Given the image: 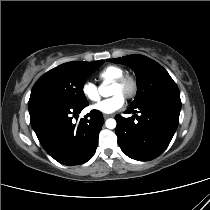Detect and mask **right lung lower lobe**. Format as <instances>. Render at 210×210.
I'll return each instance as SVG.
<instances>
[{
  "instance_id": "98d812e1",
  "label": "right lung lower lobe",
  "mask_w": 210,
  "mask_h": 210,
  "mask_svg": "<svg viewBox=\"0 0 210 210\" xmlns=\"http://www.w3.org/2000/svg\"><path fill=\"white\" fill-rule=\"evenodd\" d=\"M88 105L49 102L29 109L31 126L41 145L61 164H83L96 152L104 121L101 112L92 110L79 124L71 117Z\"/></svg>"
}]
</instances>
